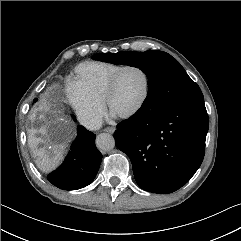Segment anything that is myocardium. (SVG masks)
<instances>
[{"label": "myocardium", "instance_id": "1", "mask_svg": "<svg viewBox=\"0 0 241 241\" xmlns=\"http://www.w3.org/2000/svg\"><path fill=\"white\" fill-rule=\"evenodd\" d=\"M127 69L139 70L144 75L145 86H144V91H143L142 97H141L140 101L138 102V104L130 111L123 113L121 115H118L122 119H128V118H131V117H134L135 115H137L145 106V104L148 100V97H149V93H150V76H149L147 70L137 64H126V65H123L119 70H117L114 73V75L111 77V79L107 85L105 95H104L105 106L111 110L110 101H111V97L115 91L117 81H118L120 75Z\"/></svg>", "mask_w": 241, "mask_h": 241}]
</instances>
